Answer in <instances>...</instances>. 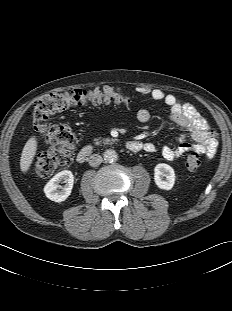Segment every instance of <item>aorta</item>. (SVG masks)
<instances>
[{
  "label": "aorta",
  "instance_id": "obj_1",
  "mask_svg": "<svg viewBox=\"0 0 232 311\" xmlns=\"http://www.w3.org/2000/svg\"><path fill=\"white\" fill-rule=\"evenodd\" d=\"M103 157H104V160L106 162H109V163H113V162H116L117 159H118V154L115 150L113 149H107L105 150L104 154H103Z\"/></svg>",
  "mask_w": 232,
  "mask_h": 311
}]
</instances>
